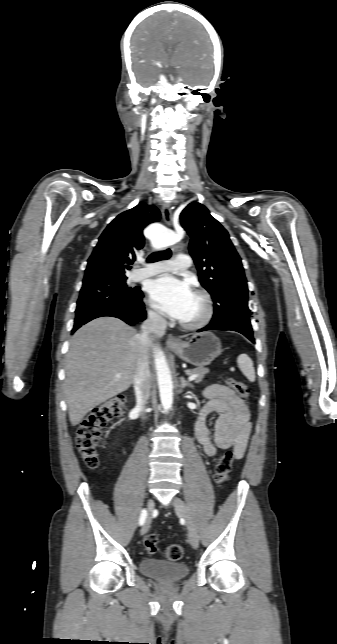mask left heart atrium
Wrapping results in <instances>:
<instances>
[{
  "label": "left heart atrium",
  "mask_w": 337,
  "mask_h": 644,
  "mask_svg": "<svg viewBox=\"0 0 337 644\" xmlns=\"http://www.w3.org/2000/svg\"><path fill=\"white\" fill-rule=\"evenodd\" d=\"M193 295L186 282L170 275L153 280L149 286L152 305L164 315L178 320L186 314Z\"/></svg>",
  "instance_id": "left-heart-atrium-1"
}]
</instances>
